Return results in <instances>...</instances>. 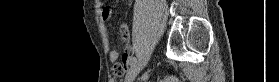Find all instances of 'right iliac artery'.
I'll return each mask as SVG.
<instances>
[{"label": "right iliac artery", "mask_w": 279, "mask_h": 82, "mask_svg": "<svg viewBox=\"0 0 279 82\" xmlns=\"http://www.w3.org/2000/svg\"><path fill=\"white\" fill-rule=\"evenodd\" d=\"M136 62H137V58H133V61H132V63H131V66L135 65Z\"/></svg>", "instance_id": "right-iliac-artery-1"}]
</instances>
